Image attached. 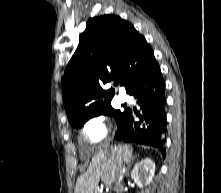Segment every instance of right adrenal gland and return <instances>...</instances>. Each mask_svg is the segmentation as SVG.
<instances>
[{
  "mask_svg": "<svg viewBox=\"0 0 221 193\" xmlns=\"http://www.w3.org/2000/svg\"><path fill=\"white\" fill-rule=\"evenodd\" d=\"M135 158H136V156H133V157L131 158V160L128 162V168H127V172H126V174H125L126 177L129 176V169H130V167H131V162H133V161L135 160Z\"/></svg>",
  "mask_w": 221,
  "mask_h": 193,
  "instance_id": "right-adrenal-gland-1",
  "label": "right adrenal gland"
}]
</instances>
